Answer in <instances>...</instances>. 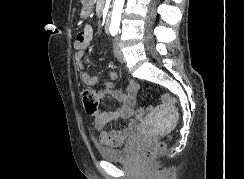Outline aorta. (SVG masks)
<instances>
[{
	"instance_id": "1",
	"label": "aorta",
	"mask_w": 244,
	"mask_h": 179,
	"mask_svg": "<svg viewBox=\"0 0 244 179\" xmlns=\"http://www.w3.org/2000/svg\"><path fill=\"white\" fill-rule=\"evenodd\" d=\"M125 0H115L114 8L112 12L110 32H118L122 14V8L124 6Z\"/></svg>"
}]
</instances>
